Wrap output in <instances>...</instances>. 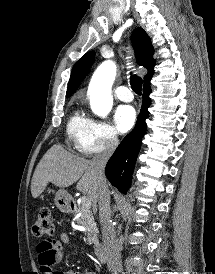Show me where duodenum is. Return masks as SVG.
I'll return each instance as SVG.
<instances>
[{"mask_svg": "<svg viewBox=\"0 0 215 274\" xmlns=\"http://www.w3.org/2000/svg\"><path fill=\"white\" fill-rule=\"evenodd\" d=\"M71 207L74 208L73 203H71ZM94 251H95L97 259L100 262H105L106 261L107 252H106V249H105V247L102 243H100V242L95 243Z\"/></svg>", "mask_w": 215, "mask_h": 274, "instance_id": "obj_1", "label": "duodenum"}]
</instances>
